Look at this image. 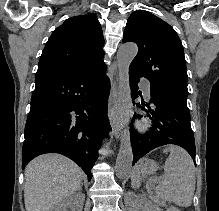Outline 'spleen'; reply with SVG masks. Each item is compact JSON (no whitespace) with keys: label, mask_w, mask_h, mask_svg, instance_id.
Instances as JSON below:
<instances>
[{"label":"spleen","mask_w":219,"mask_h":211,"mask_svg":"<svg viewBox=\"0 0 219 211\" xmlns=\"http://www.w3.org/2000/svg\"><path fill=\"white\" fill-rule=\"evenodd\" d=\"M164 151L170 155L165 161L164 177L158 179L156 187L157 199L173 201L181 207H189L195 191V167L189 153L179 145H168ZM141 175L133 169L131 175L132 187H139Z\"/></svg>","instance_id":"3e777b00"}]
</instances>
